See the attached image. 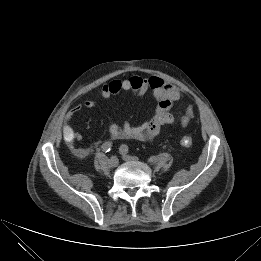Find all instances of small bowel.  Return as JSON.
Instances as JSON below:
<instances>
[{"label": "small bowel", "mask_w": 261, "mask_h": 261, "mask_svg": "<svg viewBox=\"0 0 261 261\" xmlns=\"http://www.w3.org/2000/svg\"><path fill=\"white\" fill-rule=\"evenodd\" d=\"M122 91H131L136 95H143L148 91L152 94V99L156 102L152 117L140 125H133L124 121L121 125L113 120L109 122V135L113 139H136L150 140L156 137L163 125L174 123V117L170 110L174 102L181 98V91L174 85L166 83L157 76L142 77L132 75L125 79H114L105 84L101 89V96L108 100ZM95 107V102L88 100L72 107L66 114L65 125L63 127L64 139L74 144L82 139V135L75 132L71 127L72 117L84 108ZM193 108L188 107L180 119L183 127H187L193 118ZM90 152L89 148H75V153L84 157Z\"/></svg>", "instance_id": "1"}]
</instances>
